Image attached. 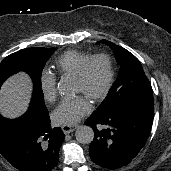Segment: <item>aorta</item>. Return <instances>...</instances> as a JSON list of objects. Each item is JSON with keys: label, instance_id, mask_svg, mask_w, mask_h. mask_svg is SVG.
<instances>
[{"label": "aorta", "instance_id": "1", "mask_svg": "<svg viewBox=\"0 0 171 171\" xmlns=\"http://www.w3.org/2000/svg\"><path fill=\"white\" fill-rule=\"evenodd\" d=\"M57 90L63 96H72L75 94L74 86L66 79H62L59 81ZM75 137L79 143L89 144L94 139V131L90 126H80L75 131Z\"/></svg>", "mask_w": 171, "mask_h": 171}]
</instances>
